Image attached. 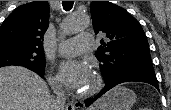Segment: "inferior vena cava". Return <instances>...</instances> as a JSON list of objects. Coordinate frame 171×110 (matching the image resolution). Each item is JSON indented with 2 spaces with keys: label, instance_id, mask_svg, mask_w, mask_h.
Wrapping results in <instances>:
<instances>
[{
  "label": "inferior vena cava",
  "instance_id": "obj_1",
  "mask_svg": "<svg viewBox=\"0 0 171 110\" xmlns=\"http://www.w3.org/2000/svg\"><path fill=\"white\" fill-rule=\"evenodd\" d=\"M51 88L56 95V99L54 101V109L63 110L65 107L66 97L64 90L62 89V85L58 82H54L51 84Z\"/></svg>",
  "mask_w": 171,
  "mask_h": 110
}]
</instances>
